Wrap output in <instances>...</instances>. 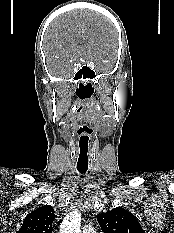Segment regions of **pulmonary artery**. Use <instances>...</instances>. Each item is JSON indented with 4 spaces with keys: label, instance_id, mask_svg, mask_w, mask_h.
<instances>
[{
    "label": "pulmonary artery",
    "instance_id": "pulmonary-artery-1",
    "mask_svg": "<svg viewBox=\"0 0 174 233\" xmlns=\"http://www.w3.org/2000/svg\"><path fill=\"white\" fill-rule=\"evenodd\" d=\"M82 233H96V232H95V229H94L92 226L86 225V226L83 228Z\"/></svg>",
    "mask_w": 174,
    "mask_h": 233
}]
</instances>
